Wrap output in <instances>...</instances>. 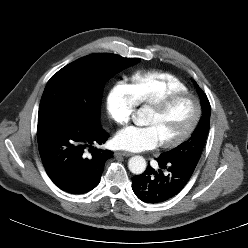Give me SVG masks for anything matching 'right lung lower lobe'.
Returning <instances> with one entry per match:
<instances>
[{"label": "right lung lower lobe", "instance_id": "98d812e1", "mask_svg": "<svg viewBox=\"0 0 248 248\" xmlns=\"http://www.w3.org/2000/svg\"><path fill=\"white\" fill-rule=\"evenodd\" d=\"M38 148L44 168L61 190L84 194L100 181L106 160L113 157L110 150L95 149L87 158L86 148L103 144L109 135L99 125H74L59 119L38 122Z\"/></svg>", "mask_w": 248, "mask_h": 248}]
</instances>
